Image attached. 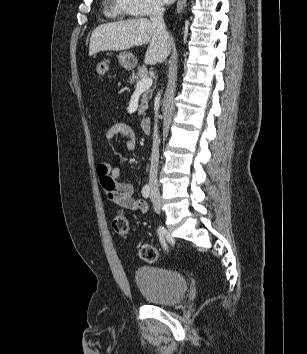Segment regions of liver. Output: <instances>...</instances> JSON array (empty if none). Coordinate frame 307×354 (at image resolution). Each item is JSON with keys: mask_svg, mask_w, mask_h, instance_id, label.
Listing matches in <instances>:
<instances>
[{"mask_svg": "<svg viewBox=\"0 0 307 354\" xmlns=\"http://www.w3.org/2000/svg\"><path fill=\"white\" fill-rule=\"evenodd\" d=\"M149 43L144 62L154 65L163 62L170 52L171 40L146 18L112 22L98 26L91 35L89 56L101 51H122Z\"/></svg>", "mask_w": 307, "mask_h": 354, "instance_id": "liver-1", "label": "liver"}]
</instances>
